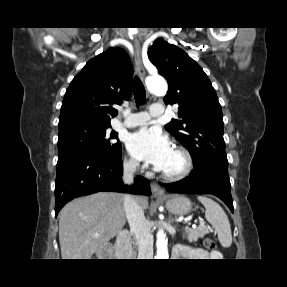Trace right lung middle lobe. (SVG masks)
<instances>
[{"label":"right lung middle lobe","mask_w":287,"mask_h":287,"mask_svg":"<svg viewBox=\"0 0 287 287\" xmlns=\"http://www.w3.org/2000/svg\"><path fill=\"white\" fill-rule=\"evenodd\" d=\"M111 126L73 123L59 127L58 159L83 154L103 159H115L121 154V143L114 142L118 134L107 130Z\"/></svg>","instance_id":"1"}]
</instances>
